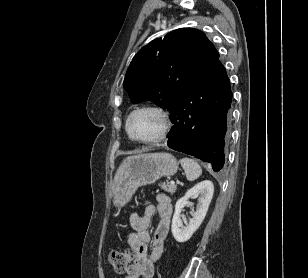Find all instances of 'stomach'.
Returning a JSON list of instances; mask_svg holds the SVG:
<instances>
[{
  "label": "stomach",
  "mask_w": 308,
  "mask_h": 278,
  "mask_svg": "<svg viewBox=\"0 0 308 278\" xmlns=\"http://www.w3.org/2000/svg\"><path fill=\"white\" fill-rule=\"evenodd\" d=\"M177 169L175 157L166 152L141 153L125 158L113 179V204L124 206L139 187L153 184L163 176L174 175Z\"/></svg>",
  "instance_id": "obj_1"
}]
</instances>
